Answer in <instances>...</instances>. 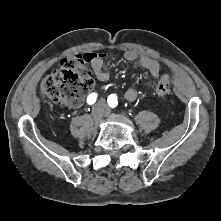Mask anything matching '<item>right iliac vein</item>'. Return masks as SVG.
I'll list each match as a JSON object with an SVG mask.
<instances>
[{"label":"right iliac vein","mask_w":221,"mask_h":221,"mask_svg":"<svg viewBox=\"0 0 221 221\" xmlns=\"http://www.w3.org/2000/svg\"><path fill=\"white\" fill-rule=\"evenodd\" d=\"M104 114H105V110L102 105H98L93 108L92 117H93V121L96 125L101 123Z\"/></svg>","instance_id":"63e3f726"}]
</instances>
